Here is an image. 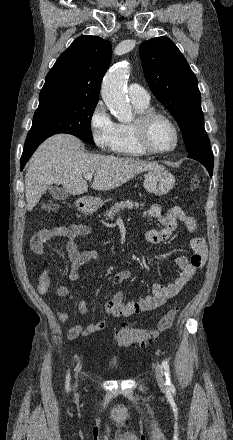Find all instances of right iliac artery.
Wrapping results in <instances>:
<instances>
[{"mask_svg": "<svg viewBox=\"0 0 233 440\" xmlns=\"http://www.w3.org/2000/svg\"><path fill=\"white\" fill-rule=\"evenodd\" d=\"M69 380H70V377H69V374L67 375V383H66V389H67V391L69 390Z\"/></svg>", "mask_w": 233, "mask_h": 440, "instance_id": "obj_1", "label": "right iliac artery"}]
</instances>
